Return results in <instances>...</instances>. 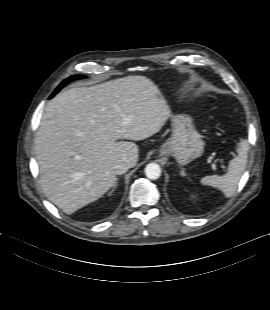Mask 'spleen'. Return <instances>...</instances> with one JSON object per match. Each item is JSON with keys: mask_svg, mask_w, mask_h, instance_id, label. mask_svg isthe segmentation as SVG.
<instances>
[{"mask_svg": "<svg viewBox=\"0 0 270 310\" xmlns=\"http://www.w3.org/2000/svg\"><path fill=\"white\" fill-rule=\"evenodd\" d=\"M237 152L238 156L229 162L228 172L225 175L205 176L200 183L220 189L226 197L233 196L247 164V148L244 140L240 141Z\"/></svg>", "mask_w": 270, "mask_h": 310, "instance_id": "3e777b00", "label": "spleen"}]
</instances>
